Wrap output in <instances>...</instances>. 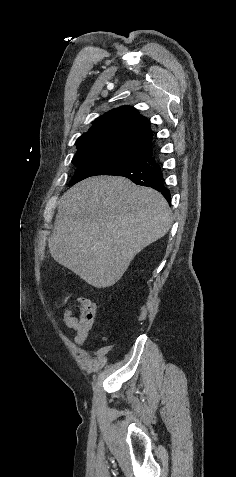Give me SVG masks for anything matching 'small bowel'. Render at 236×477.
<instances>
[{
  "instance_id": "small-bowel-1",
  "label": "small bowel",
  "mask_w": 236,
  "mask_h": 477,
  "mask_svg": "<svg viewBox=\"0 0 236 477\" xmlns=\"http://www.w3.org/2000/svg\"><path fill=\"white\" fill-rule=\"evenodd\" d=\"M72 298L73 294L66 295L59 305L68 304L64 312V322L68 328L75 331L73 340L77 344H82L91 330L97 307L89 298L78 297L75 300H72ZM76 310H78V315Z\"/></svg>"
}]
</instances>
